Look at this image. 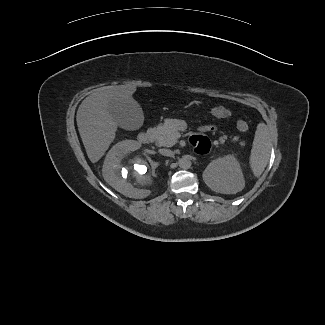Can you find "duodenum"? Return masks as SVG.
<instances>
[{"label": "duodenum", "instance_id": "obj_1", "mask_svg": "<svg viewBox=\"0 0 325 325\" xmlns=\"http://www.w3.org/2000/svg\"><path fill=\"white\" fill-rule=\"evenodd\" d=\"M155 137L154 130H148L146 132H142L138 136V140L141 144H149Z\"/></svg>", "mask_w": 325, "mask_h": 325}]
</instances>
